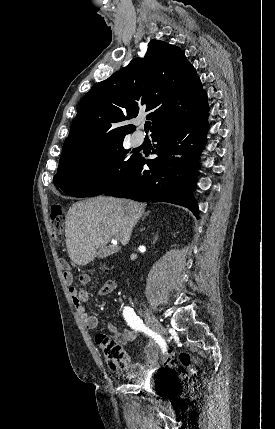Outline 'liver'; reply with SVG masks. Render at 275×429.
Listing matches in <instances>:
<instances>
[{"label":"liver","mask_w":275,"mask_h":429,"mask_svg":"<svg viewBox=\"0 0 275 429\" xmlns=\"http://www.w3.org/2000/svg\"><path fill=\"white\" fill-rule=\"evenodd\" d=\"M144 210L145 205L139 202L106 196L74 203L65 223L70 259L77 265L89 264L97 249L106 247L112 237L127 245Z\"/></svg>","instance_id":"liver-1"}]
</instances>
